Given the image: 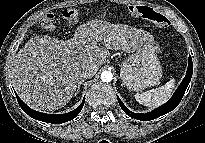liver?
<instances>
[{
    "label": "liver",
    "instance_id": "obj_1",
    "mask_svg": "<svg viewBox=\"0 0 205 143\" xmlns=\"http://www.w3.org/2000/svg\"><path fill=\"white\" fill-rule=\"evenodd\" d=\"M153 44L149 32L99 19L78 26L74 37L65 41L35 36L13 58L12 84L31 108L55 110L64 107L76 93L84 66L99 68L109 61V49L132 53L152 49Z\"/></svg>",
    "mask_w": 205,
    "mask_h": 143
}]
</instances>
